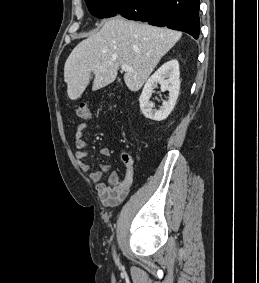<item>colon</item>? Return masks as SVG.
I'll use <instances>...</instances> for the list:
<instances>
[{
  "mask_svg": "<svg viewBox=\"0 0 259 283\" xmlns=\"http://www.w3.org/2000/svg\"><path fill=\"white\" fill-rule=\"evenodd\" d=\"M76 115H77L78 118H80L82 120L90 119L91 113H90L89 105L85 102L80 103L77 107ZM123 160L126 163H130L132 161L131 157L126 153L123 155Z\"/></svg>",
  "mask_w": 259,
  "mask_h": 283,
  "instance_id": "1",
  "label": "colon"
}]
</instances>
